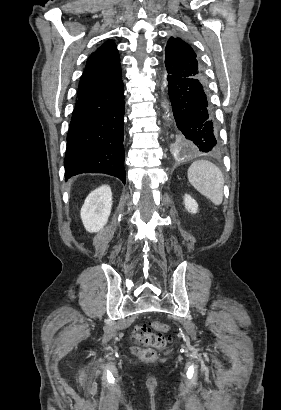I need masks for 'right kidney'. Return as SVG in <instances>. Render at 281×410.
Listing matches in <instances>:
<instances>
[{"label":"right kidney","instance_id":"right-kidney-1","mask_svg":"<svg viewBox=\"0 0 281 410\" xmlns=\"http://www.w3.org/2000/svg\"><path fill=\"white\" fill-rule=\"evenodd\" d=\"M112 208V192L108 185L92 191L81 208L80 216L88 232L100 231L108 222Z\"/></svg>","mask_w":281,"mask_h":410}]
</instances>
